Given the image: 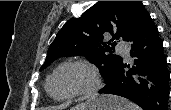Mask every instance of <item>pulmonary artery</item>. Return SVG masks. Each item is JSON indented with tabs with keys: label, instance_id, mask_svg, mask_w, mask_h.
Segmentation results:
<instances>
[{
	"label": "pulmonary artery",
	"instance_id": "e3ab8cb5",
	"mask_svg": "<svg viewBox=\"0 0 171 110\" xmlns=\"http://www.w3.org/2000/svg\"><path fill=\"white\" fill-rule=\"evenodd\" d=\"M117 52L120 53L124 58H129V50L124 43L119 42L117 44Z\"/></svg>",
	"mask_w": 171,
	"mask_h": 110
}]
</instances>
